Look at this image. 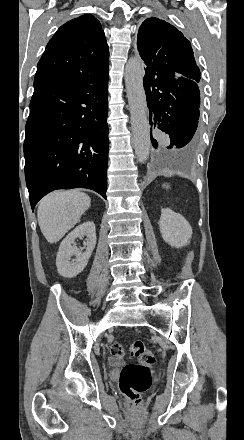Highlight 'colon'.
<instances>
[{"label": "colon", "instance_id": "1", "mask_svg": "<svg viewBox=\"0 0 244 440\" xmlns=\"http://www.w3.org/2000/svg\"><path fill=\"white\" fill-rule=\"evenodd\" d=\"M108 350L113 357L123 358V346L113 341L108 344ZM130 356L137 358V364H127L123 367L119 387L122 395L129 400V409L137 410L141 396L152 385L151 366L155 363V354L150 351L141 340L132 341L128 348Z\"/></svg>", "mask_w": 244, "mask_h": 440}]
</instances>
